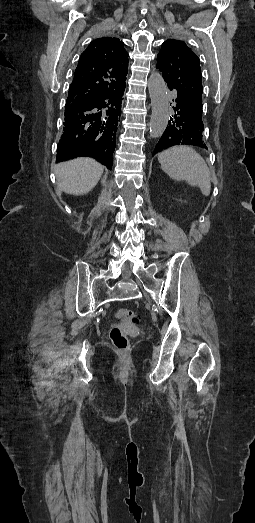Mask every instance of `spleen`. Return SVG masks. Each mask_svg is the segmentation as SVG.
I'll return each instance as SVG.
<instances>
[{
	"label": "spleen",
	"instance_id": "obj_1",
	"mask_svg": "<svg viewBox=\"0 0 255 523\" xmlns=\"http://www.w3.org/2000/svg\"><path fill=\"white\" fill-rule=\"evenodd\" d=\"M158 162L165 174L173 180H186L190 186H199L204 196H209L210 172L200 154L189 146H173L158 154Z\"/></svg>",
	"mask_w": 255,
	"mask_h": 523
}]
</instances>
